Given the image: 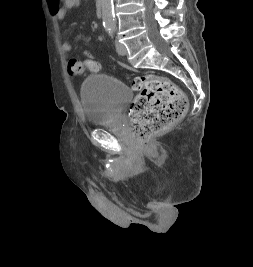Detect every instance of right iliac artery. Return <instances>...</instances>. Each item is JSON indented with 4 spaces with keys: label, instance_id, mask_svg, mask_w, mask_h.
I'll return each mask as SVG.
<instances>
[{
    "label": "right iliac artery",
    "instance_id": "right-iliac-artery-1",
    "mask_svg": "<svg viewBox=\"0 0 253 267\" xmlns=\"http://www.w3.org/2000/svg\"><path fill=\"white\" fill-rule=\"evenodd\" d=\"M107 31H108V34H109V35H111V30H110V29H108Z\"/></svg>",
    "mask_w": 253,
    "mask_h": 267
}]
</instances>
